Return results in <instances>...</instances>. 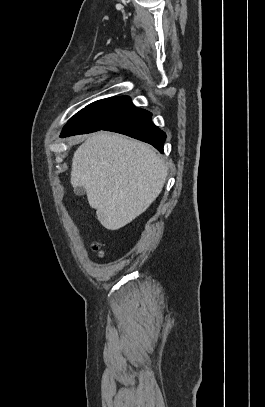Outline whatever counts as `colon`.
<instances>
[{
	"label": "colon",
	"instance_id": "colon-1",
	"mask_svg": "<svg viewBox=\"0 0 265 407\" xmlns=\"http://www.w3.org/2000/svg\"><path fill=\"white\" fill-rule=\"evenodd\" d=\"M94 249L98 252L99 256L103 255V252L101 250H99V248H98V246L96 244L94 245Z\"/></svg>",
	"mask_w": 265,
	"mask_h": 407
}]
</instances>
